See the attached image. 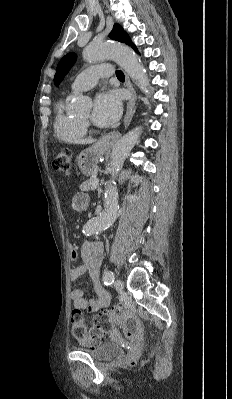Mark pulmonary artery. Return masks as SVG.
I'll return each instance as SVG.
<instances>
[{
	"label": "pulmonary artery",
	"instance_id": "pulmonary-artery-1",
	"mask_svg": "<svg viewBox=\"0 0 232 399\" xmlns=\"http://www.w3.org/2000/svg\"><path fill=\"white\" fill-rule=\"evenodd\" d=\"M95 69H81L80 73H76L73 77V88H86V90H95L96 85L100 84L101 80H107L108 76L112 74L109 63H96Z\"/></svg>",
	"mask_w": 232,
	"mask_h": 399
}]
</instances>
